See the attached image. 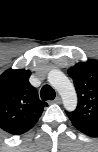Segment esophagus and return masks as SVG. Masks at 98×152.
<instances>
[{
  "instance_id": "esophagus-1",
  "label": "esophagus",
  "mask_w": 98,
  "mask_h": 152,
  "mask_svg": "<svg viewBox=\"0 0 98 152\" xmlns=\"http://www.w3.org/2000/svg\"><path fill=\"white\" fill-rule=\"evenodd\" d=\"M53 102L56 103V104H60V103L62 102L61 97H60V96H57V97L54 99Z\"/></svg>"
}]
</instances>
